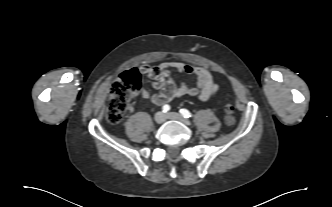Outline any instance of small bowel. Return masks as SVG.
<instances>
[{
    "mask_svg": "<svg viewBox=\"0 0 332 207\" xmlns=\"http://www.w3.org/2000/svg\"><path fill=\"white\" fill-rule=\"evenodd\" d=\"M139 70L153 81V86L157 90L156 93L143 90L141 96L155 105H166L172 99L186 95L205 101L213 97L218 90L215 78L207 68L202 66L171 62L158 66L142 65ZM173 71L194 75L197 78V85L191 86L185 83L177 85Z\"/></svg>",
    "mask_w": 332,
    "mask_h": 207,
    "instance_id": "obj_1",
    "label": "small bowel"
}]
</instances>
